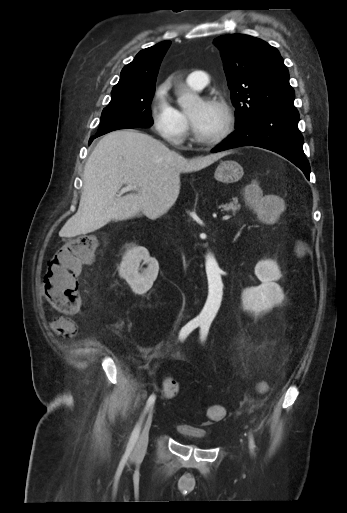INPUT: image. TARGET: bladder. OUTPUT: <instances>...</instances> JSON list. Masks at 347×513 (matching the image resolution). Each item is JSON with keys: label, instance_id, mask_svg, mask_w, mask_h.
I'll use <instances>...</instances> for the list:
<instances>
[{"label": "bladder", "instance_id": "obj_1", "mask_svg": "<svg viewBox=\"0 0 347 513\" xmlns=\"http://www.w3.org/2000/svg\"><path fill=\"white\" fill-rule=\"evenodd\" d=\"M177 430L192 444V446L204 450H210L214 448V445L206 440V433L202 429H198L187 424H180L178 425Z\"/></svg>", "mask_w": 347, "mask_h": 513}]
</instances>
